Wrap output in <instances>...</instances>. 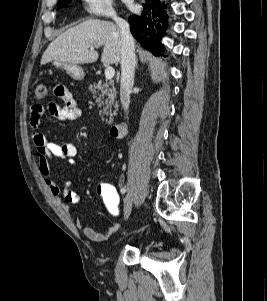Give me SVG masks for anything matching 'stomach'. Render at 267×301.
<instances>
[{
    "label": "stomach",
    "instance_id": "1",
    "mask_svg": "<svg viewBox=\"0 0 267 301\" xmlns=\"http://www.w3.org/2000/svg\"><path fill=\"white\" fill-rule=\"evenodd\" d=\"M53 66L58 69H63L74 80L81 81L85 77L84 70L77 64L54 61Z\"/></svg>",
    "mask_w": 267,
    "mask_h": 301
}]
</instances>
